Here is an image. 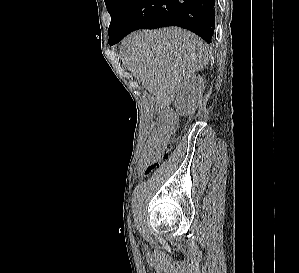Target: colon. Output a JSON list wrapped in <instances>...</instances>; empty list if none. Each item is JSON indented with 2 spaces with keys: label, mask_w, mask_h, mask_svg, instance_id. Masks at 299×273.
Wrapping results in <instances>:
<instances>
[{
  "label": "colon",
  "mask_w": 299,
  "mask_h": 273,
  "mask_svg": "<svg viewBox=\"0 0 299 273\" xmlns=\"http://www.w3.org/2000/svg\"><path fill=\"white\" fill-rule=\"evenodd\" d=\"M176 126L177 122L175 118L170 117L154 129L142 154L140 162L142 172L145 174L150 173L163 160L167 159L171 150Z\"/></svg>",
  "instance_id": "colon-1"
}]
</instances>
